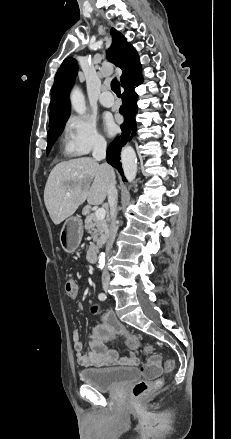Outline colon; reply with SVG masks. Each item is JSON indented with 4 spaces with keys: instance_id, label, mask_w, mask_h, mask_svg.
I'll return each mask as SVG.
<instances>
[{
    "instance_id": "obj_1",
    "label": "colon",
    "mask_w": 231,
    "mask_h": 439,
    "mask_svg": "<svg viewBox=\"0 0 231 439\" xmlns=\"http://www.w3.org/2000/svg\"><path fill=\"white\" fill-rule=\"evenodd\" d=\"M65 290L68 296L75 298L78 294V286L75 280L68 279L65 283ZM94 313L98 312V307L92 308ZM126 336L127 344L130 348H137L140 346L139 338L135 335H130L127 332ZM145 351L150 352L149 348H145ZM174 368V360L168 359L164 365L161 364V359L158 355L150 354L146 362L141 367L143 378L135 382L131 387V395L134 399H140L147 393L154 390L161 384L160 375L163 371L169 372Z\"/></svg>"
}]
</instances>
